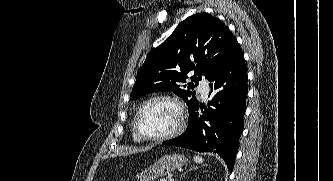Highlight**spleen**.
I'll list each match as a JSON object with an SVG mask.
<instances>
[{
  "instance_id": "1",
  "label": "spleen",
  "mask_w": 333,
  "mask_h": 181,
  "mask_svg": "<svg viewBox=\"0 0 333 181\" xmlns=\"http://www.w3.org/2000/svg\"><path fill=\"white\" fill-rule=\"evenodd\" d=\"M194 160H195V162L196 163H202L203 162V159H202V157H200V156H194Z\"/></svg>"
}]
</instances>
